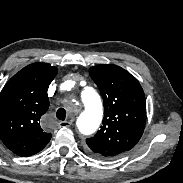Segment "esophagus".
Here are the masks:
<instances>
[{"instance_id":"1","label":"esophagus","mask_w":183,"mask_h":183,"mask_svg":"<svg viewBox=\"0 0 183 183\" xmlns=\"http://www.w3.org/2000/svg\"><path fill=\"white\" fill-rule=\"evenodd\" d=\"M72 124V121H61L59 123L60 127H69Z\"/></svg>"}]
</instances>
